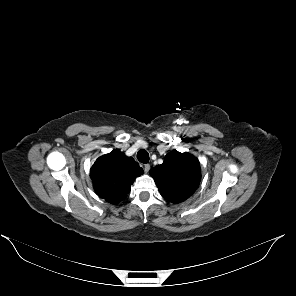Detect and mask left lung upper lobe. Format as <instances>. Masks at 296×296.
<instances>
[{"label":"left lung upper lobe","mask_w":296,"mask_h":296,"mask_svg":"<svg viewBox=\"0 0 296 296\" xmlns=\"http://www.w3.org/2000/svg\"><path fill=\"white\" fill-rule=\"evenodd\" d=\"M160 194L172 203L189 198L197 189L201 169L197 158L190 153L171 151L161 165L150 169Z\"/></svg>","instance_id":"1"}]
</instances>
